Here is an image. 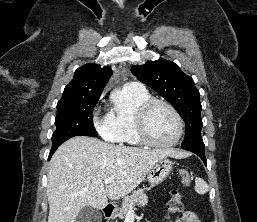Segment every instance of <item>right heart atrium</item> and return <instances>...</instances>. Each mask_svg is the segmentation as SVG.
<instances>
[{
	"instance_id": "obj_1",
	"label": "right heart atrium",
	"mask_w": 257,
	"mask_h": 222,
	"mask_svg": "<svg viewBox=\"0 0 257 222\" xmlns=\"http://www.w3.org/2000/svg\"><path fill=\"white\" fill-rule=\"evenodd\" d=\"M96 128L102 137L108 140H114L115 134L113 132L112 122L109 116H107L103 121L97 122Z\"/></svg>"
}]
</instances>
